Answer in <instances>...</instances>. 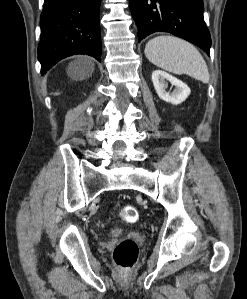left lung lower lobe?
Masks as SVG:
<instances>
[{
    "label": "left lung lower lobe",
    "mask_w": 247,
    "mask_h": 299,
    "mask_svg": "<svg viewBox=\"0 0 247 299\" xmlns=\"http://www.w3.org/2000/svg\"><path fill=\"white\" fill-rule=\"evenodd\" d=\"M138 27V41L154 32H169L210 55L211 38L202 0H129Z\"/></svg>",
    "instance_id": "0a47b994"
}]
</instances>
